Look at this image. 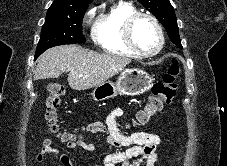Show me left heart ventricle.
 Wrapping results in <instances>:
<instances>
[{"mask_svg": "<svg viewBox=\"0 0 227 166\" xmlns=\"http://www.w3.org/2000/svg\"><path fill=\"white\" fill-rule=\"evenodd\" d=\"M133 34L135 43L142 51L151 52L156 49L159 36L154 24L149 19H139L134 26Z\"/></svg>", "mask_w": 227, "mask_h": 166, "instance_id": "1", "label": "left heart ventricle"}]
</instances>
